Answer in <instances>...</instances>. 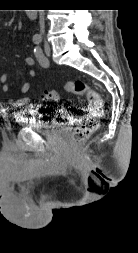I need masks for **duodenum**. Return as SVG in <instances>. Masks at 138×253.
<instances>
[{
  "label": "duodenum",
  "mask_w": 138,
  "mask_h": 253,
  "mask_svg": "<svg viewBox=\"0 0 138 253\" xmlns=\"http://www.w3.org/2000/svg\"><path fill=\"white\" fill-rule=\"evenodd\" d=\"M27 17L31 20L36 19L37 18V11L35 9H28Z\"/></svg>",
  "instance_id": "410a0bca"
}]
</instances>
